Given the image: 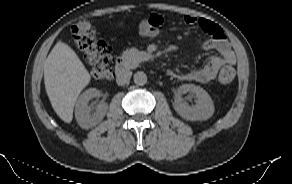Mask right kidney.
Listing matches in <instances>:
<instances>
[{"label":"right kidney","instance_id":"right-kidney-1","mask_svg":"<svg viewBox=\"0 0 292 184\" xmlns=\"http://www.w3.org/2000/svg\"><path fill=\"white\" fill-rule=\"evenodd\" d=\"M100 95V91L96 88H90L83 92L77 100L75 106V117L83 129H89L97 125L105 116L108 105L106 103H100L92 109L88 105L89 101Z\"/></svg>","mask_w":292,"mask_h":184}]
</instances>
